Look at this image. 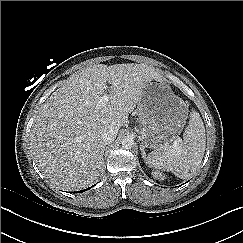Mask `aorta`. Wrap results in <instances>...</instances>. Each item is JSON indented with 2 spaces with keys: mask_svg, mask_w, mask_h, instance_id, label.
I'll return each instance as SVG.
<instances>
[{
  "mask_svg": "<svg viewBox=\"0 0 243 243\" xmlns=\"http://www.w3.org/2000/svg\"><path fill=\"white\" fill-rule=\"evenodd\" d=\"M134 146V140L131 137H125L122 140V147L124 149H131Z\"/></svg>",
  "mask_w": 243,
  "mask_h": 243,
  "instance_id": "aorta-1",
  "label": "aorta"
}]
</instances>
